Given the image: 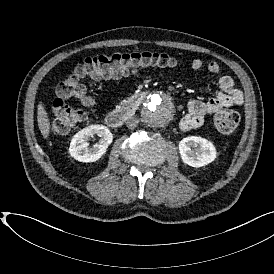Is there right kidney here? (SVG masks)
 I'll list each match as a JSON object with an SVG mask.
<instances>
[{"label": "right kidney", "instance_id": "right-kidney-1", "mask_svg": "<svg viewBox=\"0 0 274 274\" xmlns=\"http://www.w3.org/2000/svg\"><path fill=\"white\" fill-rule=\"evenodd\" d=\"M97 134L101 140L88 147V139ZM113 141L110 130L103 125H91L78 131L72 138L69 147L71 157L82 163H92L98 161L107 151Z\"/></svg>", "mask_w": 274, "mask_h": 274}]
</instances>
